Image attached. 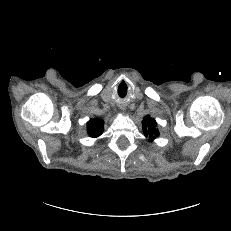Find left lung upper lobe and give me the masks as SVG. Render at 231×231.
I'll list each match as a JSON object with an SVG mask.
<instances>
[{
    "label": "left lung upper lobe",
    "mask_w": 231,
    "mask_h": 231,
    "mask_svg": "<svg viewBox=\"0 0 231 231\" xmlns=\"http://www.w3.org/2000/svg\"><path fill=\"white\" fill-rule=\"evenodd\" d=\"M143 132L146 137H149V141H153L155 137L159 135V132L156 128L157 123L155 119L151 118L150 116H146L143 121Z\"/></svg>",
    "instance_id": "5c2ea615"
}]
</instances>
